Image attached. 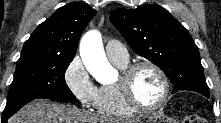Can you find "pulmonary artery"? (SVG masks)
<instances>
[{"instance_id":"obj_1","label":"pulmonary artery","mask_w":221,"mask_h":123,"mask_svg":"<svg viewBox=\"0 0 221 123\" xmlns=\"http://www.w3.org/2000/svg\"><path fill=\"white\" fill-rule=\"evenodd\" d=\"M110 61L125 64L129 61V54L125 46L117 40H109L105 47Z\"/></svg>"}]
</instances>
